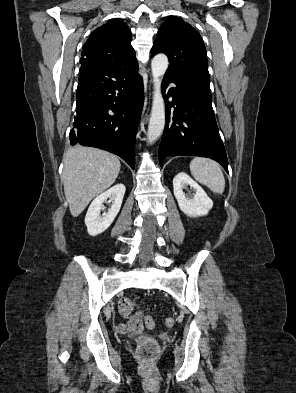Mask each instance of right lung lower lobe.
Returning <instances> with one entry per match:
<instances>
[{
  "label": "right lung lower lobe",
  "mask_w": 296,
  "mask_h": 393,
  "mask_svg": "<svg viewBox=\"0 0 296 393\" xmlns=\"http://www.w3.org/2000/svg\"><path fill=\"white\" fill-rule=\"evenodd\" d=\"M137 63L113 68L81 66L72 145L104 149L135 168V137L143 108Z\"/></svg>",
  "instance_id": "98d812e1"
}]
</instances>
